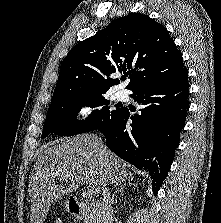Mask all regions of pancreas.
Masks as SVG:
<instances>
[{
    "instance_id": "1",
    "label": "pancreas",
    "mask_w": 221,
    "mask_h": 223,
    "mask_svg": "<svg viewBox=\"0 0 221 223\" xmlns=\"http://www.w3.org/2000/svg\"><path fill=\"white\" fill-rule=\"evenodd\" d=\"M84 223H96V218L93 214H87Z\"/></svg>"
}]
</instances>
